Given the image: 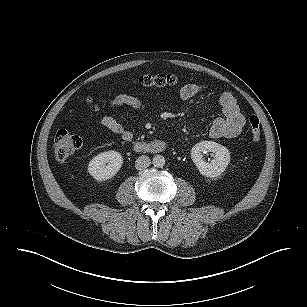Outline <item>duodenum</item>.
Listing matches in <instances>:
<instances>
[{
	"label": "duodenum",
	"instance_id": "1",
	"mask_svg": "<svg viewBox=\"0 0 307 307\" xmlns=\"http://www.w3.org/2000/svg\"><path fill=\"white\" fill-rule=\"evenodd\" d=\"M135 149L149 153H161L165 147L160 140H143L136 142Z\"/></svg>",
	"mask_w": 307,
	"mask_h": 307
}]
</instances>
